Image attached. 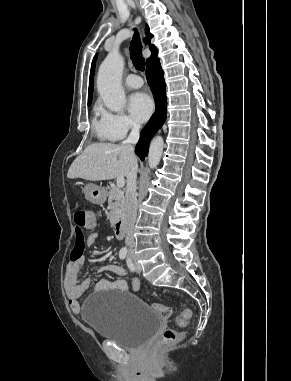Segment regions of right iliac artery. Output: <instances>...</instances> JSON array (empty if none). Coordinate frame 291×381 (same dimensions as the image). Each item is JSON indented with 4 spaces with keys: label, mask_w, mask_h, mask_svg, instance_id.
<instances>
[{
    "label": "right iliac artery",
    "mask_w": 291,
    "mask_h": 381,
    "mask_svg": "<svg viewBox=\"0 0 291 381\" xmlns=\"http://www.w3.org/2000/svg\"><path fill=\"white\" fill-rule=\"evenodd\" d=\"M127 255V250L126 249H121L119 252V257L120 259H125Z\"/></svg>",
    "instance_id": "82829eb1"
}]
</instances>
